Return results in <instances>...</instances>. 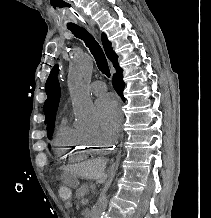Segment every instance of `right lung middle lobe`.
I'll return each instance as SVG.
<instances>
[{
    "label": "right lung middle lobe",
    "instance_id": "dd1d6c3e",
    "mask_svg": "<svg viewBox=\"0 0 211 218\" xmlns=\"http://www.w3.org/2000/svg\"><path fill=\"white\" fill-rule=\"evenodd\" d=\"M48 138H49V139H51V138H52V134H51V135H49V136H48Z\"/></svg>",
    "mask_w": 211,
    "mask_h": 218
}]
</instances>
